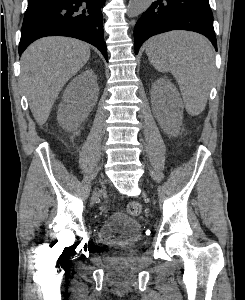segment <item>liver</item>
<instances>
[{"mask_svg": "<svg viewBox=\"0 0 245 300\" xmlns=\"http://www.w3.org/2000/svg\"><path fill=\"white\" fill-rule=\"evenodd\" d=\"M88 44L68 37H46L21 57V83L36 122L42 126L66 82L88 61Z\"/></svg>", "mask_w": 245, "mask_h": 300, "instance_id": "6515ba94", "label": "liver"}]
</instances>
